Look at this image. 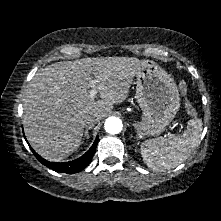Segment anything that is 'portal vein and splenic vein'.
<instances>
[{"mask_svg": "<svg viewBox=\"0 0 221 221\" xmlns=\"http://www.w3.org/2000/svg\"><path fill=\"white\" fill-rule=\"evenodd\" d=\"M93 83H95V81H93ZM97 94V90L95 88H92L91 91L89 92V97L90 98H94ZM170 137L174 136L173 134L169 135Z\"/></svg>", "mask_w": 221, "mask_h": 221, "instance_id": "18ae733b", "label": "portal vein and splenic vein"}]
</instances>
